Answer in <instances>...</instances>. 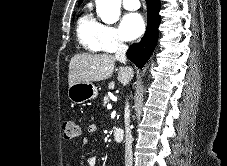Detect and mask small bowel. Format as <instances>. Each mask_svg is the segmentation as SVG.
Wrapping results in <instances>:
<instances>
[{
    "mask_svg": "<svg viewBox=\"0 0 227 166\" xmlns=\"http://www.w3.org/2000/svg\"><path fill=\"white\" fill-rule=\"evenodd\" d=\"M87 131L90 134L97 133V127L93 122H90L87 126ZM88 142V138H84L83 143L86 144ZM87 166H96V158L94 155H90L87 157Z\"/></svg>",
    "mask_w": 227,
    "mask_h": 166,
    "instance_id": "1",
    "label": "small bowel"
}]
</instances>
